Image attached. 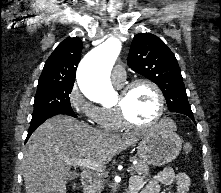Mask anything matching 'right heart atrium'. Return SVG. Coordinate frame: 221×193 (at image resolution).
<instances>
[{"label":"right heart atrium","instance_id":"d8ad5b80","mask_svg":"<svg viewBox=\"0 0 221 193\" xmlns=\"http://www.w3.org/2000/svg\"><path fill=\"white\" fill-rule=\"evenodd\" d=\"M68 103L72 110L91 123H99L101 120L100 107L89 101L75 84L68 94Z\"/></svg>","mask_w":221,"mask_h":193}]
</instances>
